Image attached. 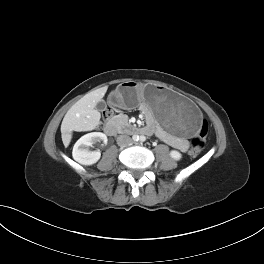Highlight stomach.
Wrapping results in <instances>:
<instances>
[{
    "instance_id": "stomach-1",
    "label": "stomach",
    "mask_w": 264,
    "mask_h": 264,
    "mask_svg": "<svg viewBox=\"0 0 264 264\" xmlns=\"http://www.w3.org/2000/svg\"><path fill=\"white\" fill-rule=\"evenodd\" d=\"M112 104L131 108L142 105L162 128L174 135L193 138L199 132L201 113L189 100L156 83H121L109 96Z\"/></svg>"
}]
</instances>
